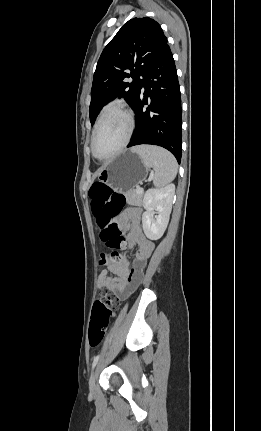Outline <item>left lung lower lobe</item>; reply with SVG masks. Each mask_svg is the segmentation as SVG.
I'll list each match as a JSON object with an SVG mask.
<instances>
[{
    "label": "left lung lower lobe",
    "instance_id": "obj_1",
    "mask_svg": "<svg viewBox=\"0 0 261 431\" xmlns=\"http://www.w3.org/2000/svg\"><path fill=\"white\" fill-rule=\"evenodd\" d=\"M133 110L135 131L127 147L151 144L164 147L181 161L182 108L174 59L167 45L146 72ZM148 97L150 98L148 101ZM144 108V105H147Z\"/></svg>",
    "mask_w": 261,
    "mask_h": 431
}]
</instances>
